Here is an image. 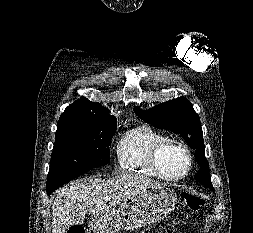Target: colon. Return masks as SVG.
Returning a JSON list of instances; mask_svg holds the SVG:
<instances>
[{"mask_svg": "<svg viewBox=\"0 0 253 233\" xmlns=\"http://www.w3.org/2000/svg\"><path fill=\"white\" fill-rule=\"evenodd\" d=\"M183 207L186 210L196 211L202 208L205 204V199L202 196L191 194V193H183L181 195ZM67 233H85L84 227L82 225H72ZM166 233H173L172 226L168 227Z\"/></svg>", "mask_w": 253, "mask_h": 233, "instance_id": "obj_1", "label": "colon"}]
</instances>
